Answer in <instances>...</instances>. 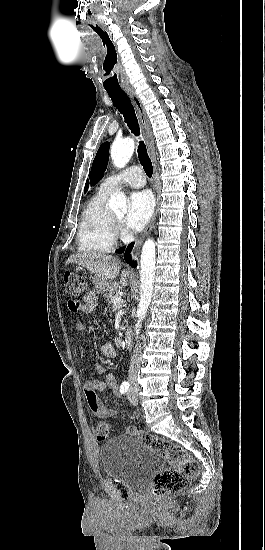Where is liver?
<instances>
[{
  "label": "liver",
  "mask_w": 265,
  "mask_h": 550,
  "mask_svg": "<svg viewBox=\"0 0 265 550\" xmlns=\"http://www.w3.org/2000/svg\"><path fill=\"white\" fill-rule=\"evenodd\" d=\"M76 263L95 274L99 286H110L121 269V262L109 255L99 253H78L71 255L66 264ZM120 284L127 285V272L121 274Z\"/></svg>",
  "instance_id": "liver-1"
}]
</instances>
